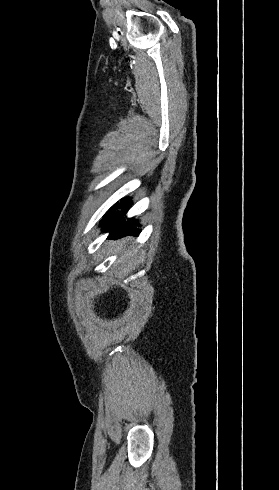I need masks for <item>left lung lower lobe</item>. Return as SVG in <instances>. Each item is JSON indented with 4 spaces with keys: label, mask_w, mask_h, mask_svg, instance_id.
Segmentation results:
<instances>
[{
    "label": "left lung lower lobe",
    "mask_w": 279,
    "mask_h": 490,
    "mask_svg": "<svg viewBox=\"0 0 279 490\" xmlns=\"http://www.w3.org/2000/svg\"><path fill=\"white\" fill-rule=\"evenodd\" d=\"M130 203V198L122 199L120 204H115L113 210L101 222L103 231H110V239H117L126 235L138 236L140 230L134 228V226H141L138 220L133 218H129L127 221L124 220ZM116 208H120L122 211H115Z\"/></svg>",
    "instance_id": "left-lung-lower-lobe-1"
}]
</instances>
